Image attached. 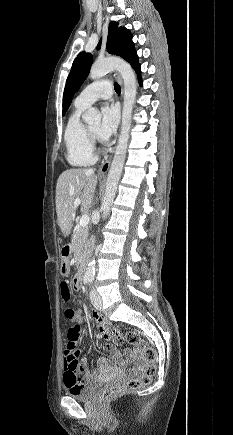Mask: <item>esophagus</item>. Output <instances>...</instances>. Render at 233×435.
Masks as SVG:
<instances>
[{
    "instance_id": "esophagus-1",
    "label": "esophagus",
    "mask_w": 233,
    "mask_h": 435,
    "mask_svg": "<svg viewBox=\"0 0 233 435\" xmlns=\"http://www.w3.org/2000/svg\"><path fill=\"white\" fill-rule=\"evenodd\" d=\"M113 75L118 79V81L120 83H122V79L118 73L115 72ZM122 94H123V90H122ZM111 161H112V155H110L109 158L106 159V161L103 162L102 165L100 166V168L98 170V173L100 175H104L108 172L110 165H111Z\"/></svg>"
}]
</instances>
